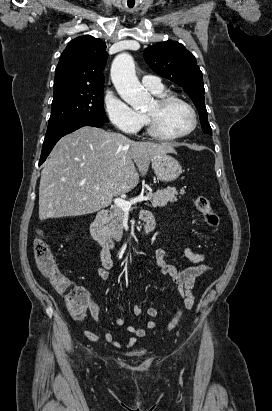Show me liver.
I'll list each match as a JSON object with an SVG mask.
<instances>
[{"mask_svg":"<svg viewBox=\"0 0 272 411\" xmlns=\"http://www.w3.org/2000/svg\"><path fill=\"white\" fill-rule=\"evenodd\" d=\"M167 153H174L170 144L136 142L89 126L64 136L43 165L39 219L81 216L108 207L114 196L137 186L139 173H147L152 158Z\"/></svg>","mask_w":272,"mask_h":411,"instance_id":"obj_1","label":"liver"}]
</instances>
